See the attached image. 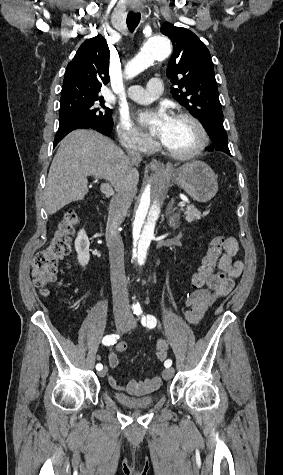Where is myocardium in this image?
Masks as SVG:
<instances>
[{
	"instance_id": "f54148a6",
	"label": "myocardium",
	"mask_w": 283,
	"mask_h": 475,
	"mask_svg": "<svg viewBox=\"0 0 283 475\" xmlns=\"http://www.w3.org/2000/svg\"><path fill=\"white\" fill-rule=\"evenodd\" d=\"M176 117H180L191 122L196 127L199 133V139L194 148L189 152L182 154H177L169 151L164 145V143L160 140L159 146L163 150L165 155L175 162L182 163L197 158L204 151L208 142V132L205 125L190 112L178 111Z\"/></svg>"
}]
</instances>
